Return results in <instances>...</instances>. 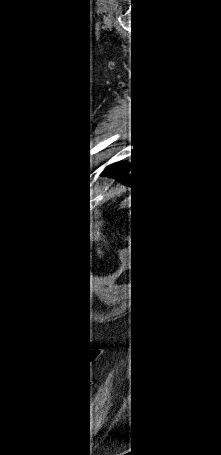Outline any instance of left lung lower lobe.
Segmentation results:
<instances>
[{"label": "left lung lower lobe", "mask_w": 221, "mask_h": 455, "mask_svg": "<svg viewBox=\"0 0 221 455\" xmlns=\"http://www.w3.org/2000/svg\"><path fill=\"white\" fill-rule=\"evenodd\" d=\"M104 163L105 161L102 158L98 159L94 163V170H101L102 175L116 178L123 184L133 187V190L142 191L145 187L147 174L136 155L122 157L116 163L105 168Z\"/></svg>", "instance_id": "obj_1"}]
</instances>
